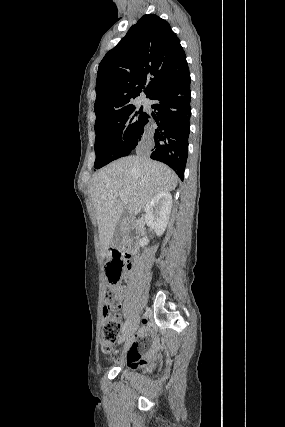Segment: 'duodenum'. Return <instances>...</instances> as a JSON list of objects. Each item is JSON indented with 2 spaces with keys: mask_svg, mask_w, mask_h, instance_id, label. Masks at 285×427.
Listing matches in <instances>:
<instances>
[{
  "mask_svg": "<svg viewBox=\"0 0 285 427\" xmlns=\"http://www.w3.org/2000/svg\"><path fill=\"white\" fill-rule=\"evenodd\" d=\"M124 227L126 229V239H125V245L122 250H118L115 252H121L125 259L130 260L134 256V238L132 237V231H133V223L131 222H125Z\"/></svg>",
  "mask_w": 285,
  "mask_h": 427,
  "instance_id": "obj_1",
  "label": "duodenum"
}]
</instances>
